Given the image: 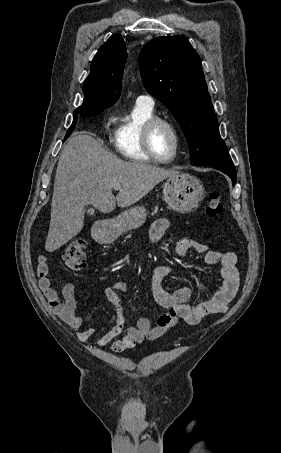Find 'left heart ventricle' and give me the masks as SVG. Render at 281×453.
I'll return each mask as SVG.
<instances>
[{
    "label": "left heart ventricle",
    "instance_id": "obj_1",
    "mask_svg": "<svg viewBox=\"0 0 281 453\" xmlns=\"http://www.w3.org/2000/svg\"><path fill=\"white\" fill-rule=\"evenodd\" d=\"M154 147L160 158L168 159L172 155L173 137L166 128L161 127L157 131L154 139Z\"/></svg>",
    "mask_w": 281,
    "mask_h": 453
}]
</instances>
